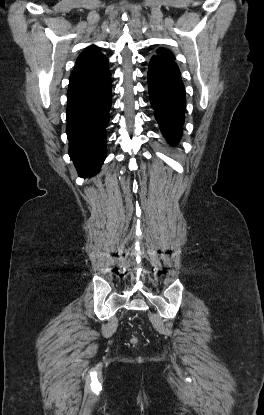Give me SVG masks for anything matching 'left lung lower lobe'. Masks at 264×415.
Segmentation results:
<instances>
[{
	"label": "left lung lower lobe",
	"instance_id": "obj_1",
	"mask_svg": "<svg viewBox=\"0 0 264 415\" xmlns=\"http://www.w3.org/2000/svg\"><path fill=\"white\" fill-rule=\"evenodd\" d=\"M148 89L164 137L171 144L176 143L181 137L186 99L180 71L171 58L159 55L151 58Z\"/></svg>",
	"mask_w": 264,
	"mask_h": 415
}]
</instances>
